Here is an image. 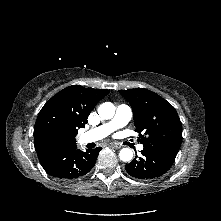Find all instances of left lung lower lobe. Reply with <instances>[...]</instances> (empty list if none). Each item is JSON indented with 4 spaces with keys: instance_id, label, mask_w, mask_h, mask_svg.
Wrapping results in <instances>:
<instances>
[{
    "instance_id": "1",
    "label": "left lung lower lobe",
    "mask_w": 221,
    "mask_h": 221,
    "mask_svg": "<svg viewBox=\"0 0 221 221\" xmlns=\"http://www.w3.org/2000/svg\"><path fill=\"white\" fill-rule=\"evenodd\" d=\"M141 157L125 165L127 173L138 179H153L165 174L172 166L177 149L161 145H143Z\"/></svg>"
}]
</instances>
